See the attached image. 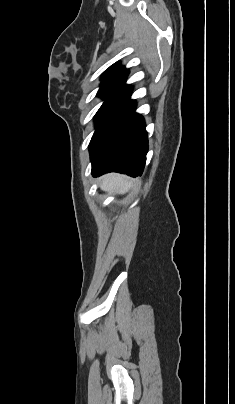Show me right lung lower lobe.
<instances>
[{
  "label": "right lung lower lobe",
  "instance_id": "right-lung-lower-lobe-1",
  "mask_svg": "<svg viewBox=\"0 0 235 404\" xmlns=\"http://www.w3.org/2000/svg\"><path fill=\"white\" fill-rule=\"evenodd\" d=\"M128 87L121 100L97 125L89 150L92 174L107 172L141 176L148 150L147 132L142 116L135 113L136 102Z\"/></svg>",
  "mask_w": 235,
  "mask_h": 404
}]
</instances>
